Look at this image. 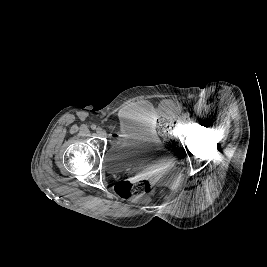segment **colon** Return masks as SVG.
I'll use <instances>...</instances> for the list:
<instances>
[{
	"label": "colon",
	"instance_id": "colon-1",
	"mask_svg": "<svg viewBox=\"0 0 267 267\" xmlns=\"http://www.w3.org/2000/svg\"><path fill=\"white\" fill-rule=\"evenodd\" d=\"M159 127L163 130L168 129L170 128V122L167 119H162L159 121ZM117 137L118 135L116 133H113L112 140H117ZM116 192L120 197L129 199L152 193L164 194L165 189L163 187H158L155 181L151 178L144 177L134 182H120L116 187Z\"/></svg>",
	"mask_w": 267,
	"mask_h": 267
}]
</instances>
